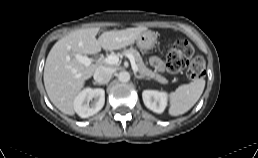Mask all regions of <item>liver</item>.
Returning <instances> with one entry per match:
<instances>
[{"instance_id":"obj_1","label":"liver","mask_w":258,"mask_h":158,"mask_svg":"<svg viewBox=\"0 0 258 158\" xmlns=\"http://www.w3.org/2000/svg\"><path fill=\"white\" fill-rule=\"evenodd\" d=\"M147 30L146 27L127 28L103 32L98 39L99 28L75 30L58 40L50 50L44 67V85L51 102L64 114L73 115L75 97L100 67L85 66L76 59V54H96L105 50L124 48Z\"/></svg>"}]
</instances>
